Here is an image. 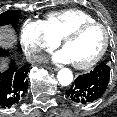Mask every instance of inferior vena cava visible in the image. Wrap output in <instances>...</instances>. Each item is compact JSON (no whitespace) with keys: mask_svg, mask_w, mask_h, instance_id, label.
Wrapping results in <instances>:
<instances>
[{"mask_svg":"<svg viewBox=\"0 0 117 117\" xmlns=\"http://www.w3.org/2000/svg\"><path fill=\"white\" fill-rule=\"evenodd\" d=\"M27 60L32 64H40L46 61V56L41 52H33L27 57Z\"/></svg>","mask_w":117,"mask_h":117,"instance_id":"inferior-vena-cava-1","label":"inferior vena cava"}]
</instances>
